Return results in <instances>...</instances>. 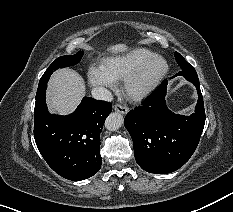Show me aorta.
Returning a JSON list of instances; mask_svg holds the SVG:
<instances>
[{"instance_id": "obj_1", "label": "aorta", "mask_w": 233, "mask_h": 212, "mask_svg": "<svg viewBox=\"0 0 233 212\" xmlns=\"http://www.w3.org/2000/svg\"><path fill=\"white\" fill-rule=\"evenodd\" d=\"M123 115L118 112L111 113L105 121V127L109 131H116L123 125Z\"/></svg>"}]
</instances>
